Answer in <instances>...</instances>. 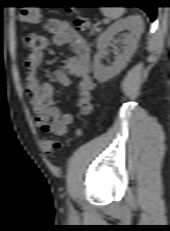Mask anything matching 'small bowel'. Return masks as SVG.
Returning <instances> with one entry per match:
<instances>
[{"label":"small bowel","instance_id":"small-bowel-1","mask_svg":"<svg viewBox=\"0 0 170 231\" xmlns=\"http://www.w3.org/2000/svg\"><path fill=\"white\" fill-rule=\"evenodd\" d=\"M46 29L52 34L55 45L69 46L74 55L64 62L63 69L54 75L59 83L70 86L71 77L77 78L78 102L77 107L82 116L93 110L92 91L94 83L90 75V47L87 41L68 23L58 19H50ZM25 47L32 45V49L25 62V89L30 96L35 125L43 132L65 135L68 126L73 122V114L61 113L54 104L53 86L42 82L38 78L39 66L44 57V50L49 45L46 37L31 35L25 38Z\"/></svg>","mask_w":170,"mask_h":231}]
</instances>
